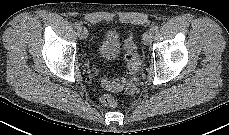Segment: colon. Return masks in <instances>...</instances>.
<instances>
[{"label":"colon","mask_w":229,"mask_h":135,"mask_svg":"<svg viewBox=\"0 0 229 135\" xmlns=\"http://www.w3.org/2000/svg\"><path fill=\"white\" fill-rule=\"evenodd\" d=\"M124 49L126 51L127 69L129 75H135L140 67V57L137 52L136 46L130 36L124 40ZM103 86L108 91L119 89L120 85L112 82H103ZM100 102L108 108L117 106L116 99L110 93H104L100 97Z\"/></svg>","instance_id":"1"}]
</instances>
